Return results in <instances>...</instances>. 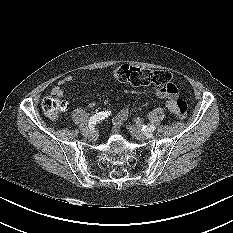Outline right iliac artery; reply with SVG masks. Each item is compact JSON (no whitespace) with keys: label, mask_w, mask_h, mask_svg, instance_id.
<instances>
[{"label":"right iliac artery","mask_w":233,"mask_h":233,"mask_svg":"<svg viewBox=\"0 0 233 233\" xmlns=\"http://www.w3.org/2000/svg\"><path fill=\"white\" fill-rule=\"evenodd\" d=\"M109 115H110V111H102V112L96 113L94 116L90 117L89 119V128H92L93 125L105 119Z\"/></svg>","instance_id":"right-iliac-artery-1"}]
</instances>
